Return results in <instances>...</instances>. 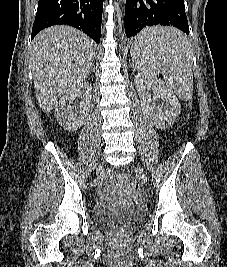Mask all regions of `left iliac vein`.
Wrapping results in <instances>:
<instances>
[{
	"label": "left iliac vein",
	"mask_w": 227,
	"mask_h": 267,
	"mask_svg": "<svg viewBox=\"0 0 227 267\" xmlns=\"http://www.w3.org/2000/svg\"><path fill=\"white\" fill-rule=\"evenodd\" d=\"M139 170L142 172V169L141 168H139Z\"/></svg>",
	"instance_id": "obj_1"
}]
</instances>
